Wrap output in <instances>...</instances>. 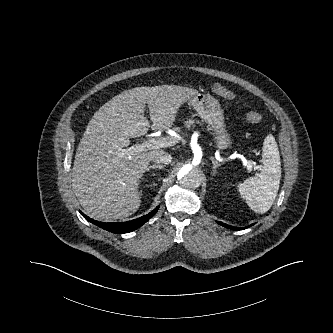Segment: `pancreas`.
Masks as SVG:
<instances>
[{
  "mask_svg": "<svg viewBox=\"0 0 333 333\" xmlns=\"http://www.w3.org/2000/svg\"><path fill=\"white\" fill-rule=\"evenodd\" d=\"M184 123H185L186 127L189 129L191 127V125L194 123V121L188 120V121H185Z\"/></svg>",
  "mask_w": 333,
  "mask_h": 333,
  "instance_id": "1",
  "label": "pancreas"
}]
</instances>
